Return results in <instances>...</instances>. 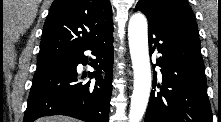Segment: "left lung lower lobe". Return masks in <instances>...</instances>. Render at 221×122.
<instances>
[{
  "label": "left lung lower lobe",
  "mask_w": 221,
  "mask_h": 122,
  "mask_svg": "<svg viewBox=\"0 0 221 122\" xmlns=\"http://www.w3.org/2000/svg\"><path fill=\"white\" fill-rule=\"evenodd\" d=\"M149 24V53L161 56L153 66L161 68L144 122H212L207 81L197 31L160 21L148 8L139 6Z\"/></svg>",
  "instance_id": "obj_1"
}]
</instances>
